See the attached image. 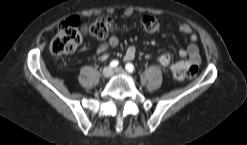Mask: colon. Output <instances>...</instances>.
<instances>
[{
	"label": "colon",
	"mask_w": 247,
	"mask_h": 145,
	"mask_svg": "<svg viewBox=\"0 0 247 145\" xmlns=\"http://www.w3.org/2000/svg\"><path fill=\"white\" fill-rule=\"evenodd\" d=\"M141 24L147 32H159L163 28L161 22L151 15H145ZM115 29L116 20L111 16L98 17L82 27L78 18H70L59 26L50 43V52L55 56L70 55L81 43L83 33L102 39L113 33ZM161 62L165 65L170 64L167 56L162 57ZM197 71V68H190L187 71L175 70L174 75L177 78H193Z\"/></svg>",
	"instance_id": "colon-1"
}]
</instances>
